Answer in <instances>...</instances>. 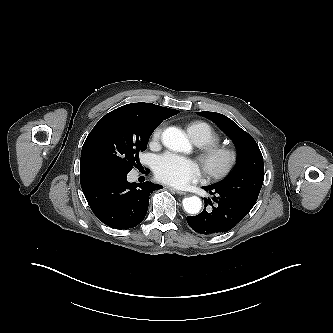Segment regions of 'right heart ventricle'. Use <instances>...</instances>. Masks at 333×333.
I'll list each match as a JSON object with an SVG mask.
<instances>
[{"label":"right heart ventricle","instance_id":"1","mask_svg":"<svg viewBox=\"0 0 333 333\" xmlns=\"http://www.w3.org/2000/svg\"><path fill=\"white\" fill-rule=\"evenodd\" d=\"M191 139L199 146H209L218 143L219 135L215 129L204 121H194L187 127Z\"/></svg>","mask_w":333,"mask_h":333}]
</instances>
